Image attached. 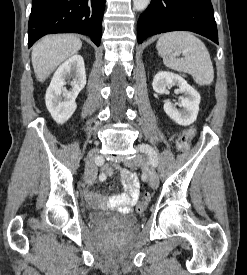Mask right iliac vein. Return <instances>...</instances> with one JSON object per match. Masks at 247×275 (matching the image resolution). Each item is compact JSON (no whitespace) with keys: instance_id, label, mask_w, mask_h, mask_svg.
I'll list each match as a JSON object with an SVG mask.
<instances>
[{"instance_id":"right-iliac-vein-1","label":"right iliac vein","mask_w":247,"mask_h":275,"mask_svg":"<svg viewBox=\"0 0 247 275\" xmlns=\"http://www.w3.org/2000/svg\"><path fill=\"white\" fill-rule=\"evenodd\" d=\"M97 155V150H93L87 155L84 172V180L86 181H92L96 176V166L94 160Z\"/></svg>"}]
</instances>
